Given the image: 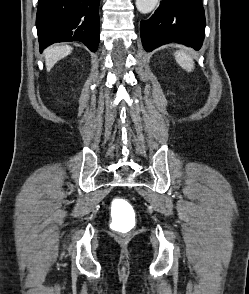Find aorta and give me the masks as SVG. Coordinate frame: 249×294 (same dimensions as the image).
<instances>
[{"label":"aorta","mask_w":249,"mask_h":294,"mask_svg":"<svg viewBox=\"0 0 249 294\" xmlns=\"http://www.w3.org/2000/svg\"><path fill=\"white\" fill-rule=\"evenodd\" d=\"M158 0H136L137 10L142 14H148L154 10Z\"/></svg>","instance_id":"obj_1"}]
</instances>
